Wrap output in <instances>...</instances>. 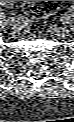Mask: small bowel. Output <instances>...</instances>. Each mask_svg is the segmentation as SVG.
I'll return each instance as SVG.
<instances>
[{
  "instance_id": "1",
  "label": "small bowel",
  "mask_w": 74,
  "mask_h": 122,
  "mask_svg": "<svg viewBox=\"0 0 74 122\" xmlns=\"http://www.w3.org/2000/svg\"><path fill=\"white\" fill-rule=\"evenodd\" d=\"M1 3L5 6H11L13 4V1H1Z\"/></svg>"
}]
</instances>
